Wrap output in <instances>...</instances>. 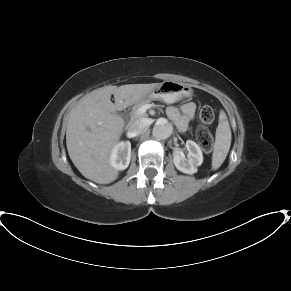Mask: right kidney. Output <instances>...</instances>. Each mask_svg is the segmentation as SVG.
Wrapping results in <instances>:
<instances>
[{"mask_svg":"<svg viewBox=\"0 0 291 291\" xmlns=\"http://www.w3.org/2000/svg\"><path fill=\"white\" fill-rule=\"evenodd\" d=\"M131 158V143L120 142L114 146L110 154V163L116 170H124L128 167Z\"/></svg>","mask_w":291,"mask_h":291,"instance_id":"ca27d5eb","label":"right kidney"}]
</instances>
